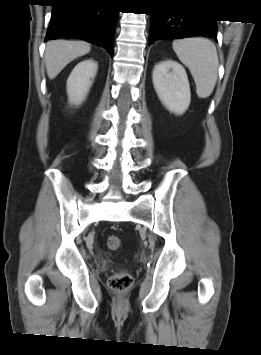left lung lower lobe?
I'll list each match as a JSON object with an SVG mask.
<instances>
[{
  "label": "left lung lower lobe",
  "mask_w": 261,
  "mask_h": 355,
  "mask_svg": "<svg viewBox=\"0 0 261 355\" xmlns=\"http://www.w3.org/2000/svg\"><path fill=\"white\" fill-rule=\"evenodd\" d=\"M217 22L213 19L153 15L149 45L161 38L182 39L190 36H204L217 40Z\"/></svg>",
  "instance_id": "obj_1"
}]
</instances>
